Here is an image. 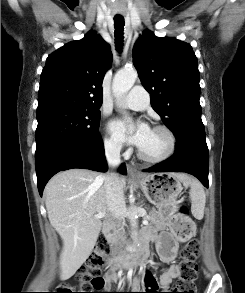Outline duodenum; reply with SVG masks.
Returning a JSON list of instances; mask_svg holds the SVG:
<instances>
[{
	"mask_svg": "<svg viewBox=\"0 0 245 293\" xmlns=\"http://www.w3.org/2000/svg\"><path fill=\"white\" fill-rule=\"evenodd\" d=\"M115 225V219L110 218L103 226L102 232L104 235L109 236ZM147 250L143 241L139 242L138 252L132 257H125L123 254H119L115 257L108 259V266L110 268H134L140 265L141 260L146 257Z\"/></svg>",
	"mask_w": 245,
	"mask_h": 293,
	"instance_id": "obj_1",
	"label": "duodenum"
}]
</instances>
